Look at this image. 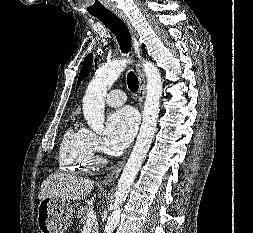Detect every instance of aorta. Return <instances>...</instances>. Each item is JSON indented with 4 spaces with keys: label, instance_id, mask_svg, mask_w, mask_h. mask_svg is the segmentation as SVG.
<instances>
[{
    "label": "aorta",
    "instance_id": "762f6f07",
    "mask_svg": "<svg viewBox=\"0 0 253 233\" xmlns=\"http://www.w3.org/2000/svg\"><path fill=\"white\" fill-rule=\"evenodd\" d=\"M129 63L131 60L124 58L99 68L87 87L83 99V114L88 126L96 133H102L104 130V98L107 91ZM142 67L147 78L142 124L134 148L118 181L113 209L105 225V233H112L119 224L120 206L126 200L150 149L156 130L162 96V79L158 68L152 62L144 61Z\"/></svg>",
    "mask_w": 253,
    "mask_h": 233
}]
</instances>
